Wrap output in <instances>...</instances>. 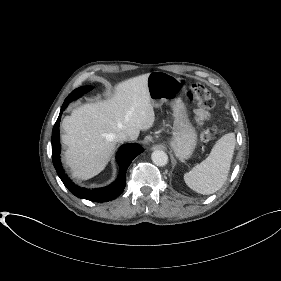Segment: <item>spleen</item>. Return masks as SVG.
I'll return each instance as SVG.
<instances>
[{
  "instance_id": "obj_1",
  "label": "spleen",
  "mask_w": 281,
  "mask_h": 281,
  "mask_svg": "<svg viewBox=\"0 0 281 281\" xmlns=\"http://www.w3.org/2000/svg\"><path fill=\"white\" fill-rule=\"evenodd\" d=\"M236 144L235 135L222 136L209 156L184 174V181L197 193L209 195L219 190L227 180Z\"/></svg>"
}]
</instances>
